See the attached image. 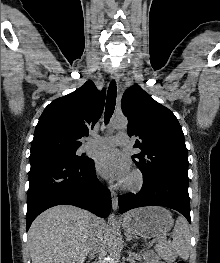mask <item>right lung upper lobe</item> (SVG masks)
<instances>
[{
  "label": "right lung upper lobe",
  "mask_w": 220,
  "mask_h": 263,
  "mask_svg": "<svg viewBox=\"0 0 220 263\" xmlns=\"http://www.w3.org/2000/svg\"><path fill=\"white\" fill-rule=\"evenodd\" d=\"M104 102L105 90L99 91L92 81L52 101L35 128L31 154L79 147L100 118Z\"/></svg>",
  "instance_id": "obj_1"
}]
</instances>
